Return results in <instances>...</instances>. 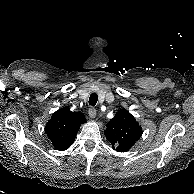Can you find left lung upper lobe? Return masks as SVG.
Returning a JSON list of instances; mask_svg holds the SVG:
<instances>
[{"label": "left lung upper lobe", "mask_w": 194, "mask_h": 194, "mask_svg": "<svg viewBox=\"0 0 194 194\" xmlns=\"http://www.w3.org/2000/svg\"><path fill=\"white\" fill-rule=\"evenodd\" d=\"M106 126V138L118 152L128 151L142 135L140 125L125 109L119 110Z\"/></svg>", "instance_id": "1"}]
</instances>
